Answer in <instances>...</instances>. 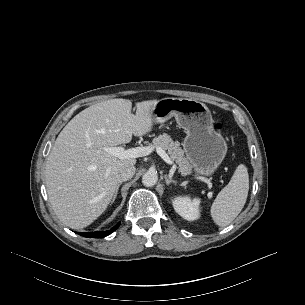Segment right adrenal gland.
<instances>
[{
    "label": "right adrenal gland",
    "mask_w": 305,
    "mask_h": 305,
    "mask_svg": "<svg viewBox=\"0 0 305 305\" xmlns=\"http://www.w3.org/2000/svg\"><path fill=\"white\" fill-rule=\"evenodd\" d=\"M122 182H118L117 185H116V188H115V192H114V196H113V199L111 201V203H113L117 197V194H118V190H119V187L121 186Z\"/></svg>",
    "instance_id": "2a0ac1e0"
}]
</instances>
